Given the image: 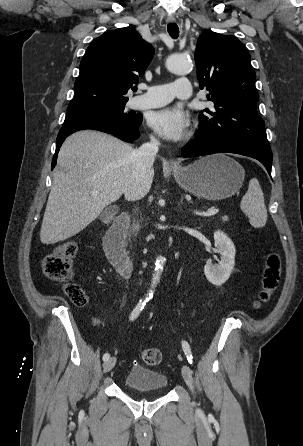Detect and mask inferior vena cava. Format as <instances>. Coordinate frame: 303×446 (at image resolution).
Returning a JSON list of instances; mask_svg holds the SVG:
<instances>
[{"label": "inferior vena cava", "mask_w": 303, "mask_h": 446, "mask_svg": "<svg viewBox=\"0 0 303 446\" xmlns=\"http://www.w3.org/2000/svg\"><path fill=\"white\" fill-rule=\"evenodd\" d=\"M150 139L149 143L143 144L139 149L134 151L133 179L135 189L151 169L155 156L159 150V141L155 137H151ZM133 230L138 231L139 224L134 225Z\"/></svg>", "instance_id": "obj_1"}]
</instances>
